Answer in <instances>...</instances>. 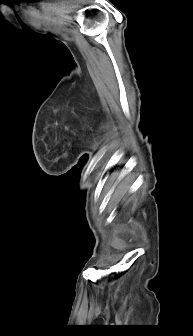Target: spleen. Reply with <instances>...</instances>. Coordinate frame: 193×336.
I'll use <instances>...</instances> for the list:
<instances>
[{
    "instance_id": "3e777b00",
    "label": "spleen",
    "mask_w": 193,
    "mask_h": 336,
    "mask_svg": "<svg viewBox=\"0 0 193 336\" xmlns=\"http://www.w3.org/2000/svg\"><path fill=\"white\" fill-rule=\"evenodd\" d=\"M130 183V179L126 178L125 180H123L118 186L117 189L115 191L114 197L117 199V201L119 202L122 198H124L126 196V194L129 191V185Z\"/></svg>"
}]
</instances>
